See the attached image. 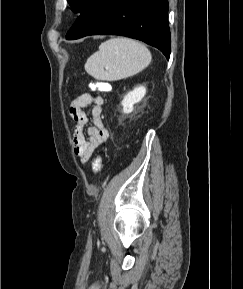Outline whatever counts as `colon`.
I'll return each mask as SVG.
<instances>
[{
	"instance_id": "colon-1",
	"label": "colon",
	"mask_w": 243,
	"mask_h": 289,
	"mask_svg": "<svg viewBox=\"0 0 243 289\" xmlns=\"http://www.w3.org/2000/svg\"><path fill=\"white\" fill-rule=\"evenodd\" d=\"M90 87L94 90L104 91L106 90V85L101 82H94L90 84ZM102 159L101 156H97L92 163V170L94 173H98L101 170Z\"/></svg>"
}]
</instances>
